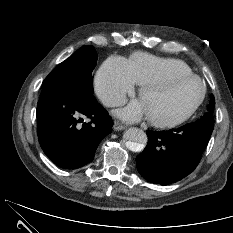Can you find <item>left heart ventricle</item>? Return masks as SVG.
Returning <instances> with one entry per match:
<instances>
[{
	"instance_id": "1",
	"label": "left heart ventricle",
	"mask_w": 233,
	"mask_h": 233,
	"mask_svg": "<svg viewBox=\"0 0 233 233\" xmlns=\"http://www.w3.org/2000/svg\"><path fill=\"white\" fill-rule=\"evenodd\" d=\"M200 91L199 83L189 79L149 89L143 93L140 101L147 116L157 120H173L194 105Z\"/></svg>"
}]
</instances>
